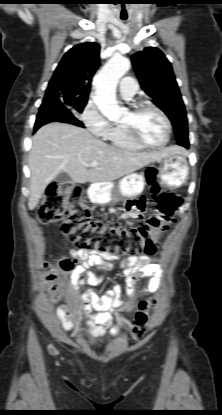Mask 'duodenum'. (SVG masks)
<instances>
[{"instance_id":"duodenum-1","label":"duodenum","mask_w":222,"mask_h":415,"mask_svg":"<svg viewBox=\"0 0 222 415\" xmlns=\"http://www.w3.org/2000/svg\"><path fill=\"white\" fill-rule=\"evenodd\" d=\"M96 192V189H92L91 194H94Z\"/></svg>"}]
</instances>
